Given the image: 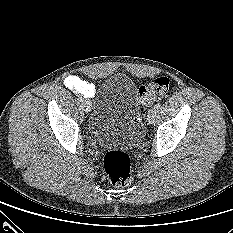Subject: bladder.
<instances>
[{"label": "bladder", "instance_id": "bladder-1", "mask_svg": "<svg viewBox=\"0 0 233 233\" xmlns=\"http://www.w3.org/2000/svg\"><path fill=\"white\" fill-rule=\"evenodd\" d=\"M90 130L99 145L134 146L143 135L137 86L124 74H116L102 85L94 105Z\"/></svg>", "mask_w": 233, "mask_h": 233}]
</instances>
